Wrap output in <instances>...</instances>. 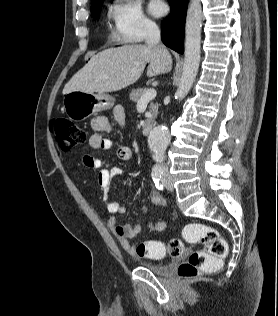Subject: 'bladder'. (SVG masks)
I'll use <instances>...</instances> for the list:
<instances>
[{"label": "bladder", "instance_id": "1", "mask_svg": "<svg viewBox=\"0 0 278 316\" xmlns=\"http://www.w3.org/2000/svg\"><path fill=\"white\" fill-rule=\"evenodd\" d=\"M140 265L147 270L151 271L156 275H168L173 271L174 265L172 263L169 264H161L155 262H140Z\"/></svg>", "mask_w": 278, "mask_h": 316}]
</instances>
